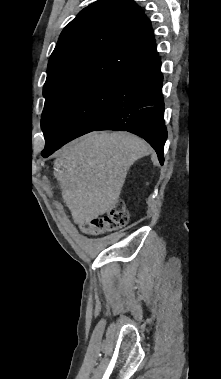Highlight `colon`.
<instances>
[{"mask_svg":"<svg viewBox=\"0 0 221 379\" xmlns=\"http://www.w3.org/2000/svg\"><path fill=\"white\" fill-rule=\"evenodd\" d=\"M128 222V212L122 202L116 203L105 215L95 217L81 225L84 233L100 235L105 232L118 230Z\"/></svg>","mask_w":221,"mask_h":379,"instance_id":"1","label":"colon"}]
</instances>
